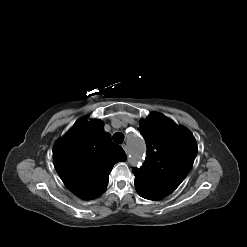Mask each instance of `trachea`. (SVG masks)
<instances>
[{"instance_id": "trachea-1", "label": "trachea", "mask_w": 247, "mask_h": 247, "mask_svg": "<svg viewBox=\"0 0 247 247\" xmlns=\"http://www.w3.org/2000/svg\"><path fill=\"white\" fill-rule=\"evenodd\" d=\"M124 140V135L123 133L121 132H116L114 135H113V141L115 143H118V144H121Z\"/></svg>"}]
</instances>
